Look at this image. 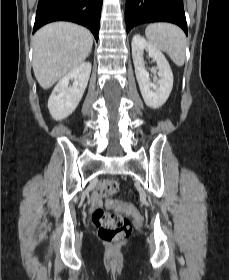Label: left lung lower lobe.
<instances>
[{
    "label": "left lung lower lobe",
    "mask_w": 229,
    "mask_h": 280,
    "mask_svg": "<svg viewBox=\"0 0 229 280\" xmlns=\"http://www.w3.org/2000/svg\"><path fill=\"white\" fill-rule=\"evenodd\" d=\"M127 33L135 26L151 22H170L187 35L183 0H127L125 7Z\"/></svg>",
    "instance_id": "1"
}]
</instances>
